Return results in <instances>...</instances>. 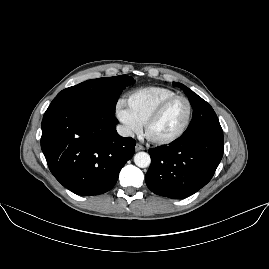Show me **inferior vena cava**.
I'll return each instance as SVG.
<instances>
[{
	"instance_id": "1",
	"label": "inferior vena cava",
	"mask_w": 269,
	"mask_h": 269,
	"mask_svg": "<svg viewBox=\"0 0 269 269\" xmlns=\"http://www.w3.org/2000/svg\"><path fill=\"white\" fill-rule=\"evenodd\" d=\"M117 133L122 137H129L132 136V131L130 128L123 126V125H117L116 127Z\"/></svg>"
}]
</instances>
